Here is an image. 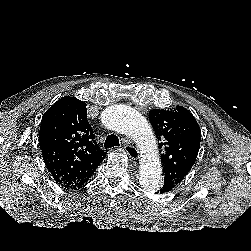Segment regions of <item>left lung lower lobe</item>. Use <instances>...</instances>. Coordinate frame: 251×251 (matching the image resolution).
<instances>
[{"label":"left lung lower lobe","instance_id":"1","mask_svg":"<svg viewBox=\"0 0 251 251\" xmlns=\"http://www.w3.org/2000/svg\"><path fill=\"white\" fill-rule=\"evenodd\" d=\"M173 188L171 187L170 184H167L164 186V183L162 184V186L160 187V189L156 192V193H167L169 191H171Z\"/></svg>","mask_w":251,"mask_h":251}]
</instances>
